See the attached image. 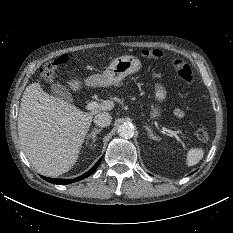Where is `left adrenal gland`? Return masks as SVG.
<instances>
[{"label":"left adrenal gland","mask_w":233,"mask_h":233,"mask_svg":"<svg viewBox=\"0 0 233 233\" xmlns=\"http://www.w3.org/2000/svg\"><path fill=\"white\" fill-rule=\"evenodd\" d=\"M144 127L148 131V135L150 136V138H152L153 140H159V138L153 134L151 128L148 125H145Z\"/></svg>","instance_id":"a2214340"}]
</instances>
